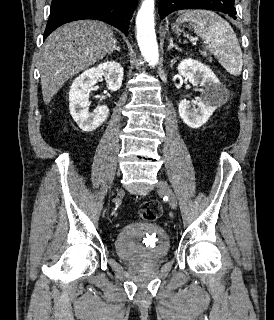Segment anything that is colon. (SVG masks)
Here are the masks:
<instances>
[{"label": "colon", "mask_w": 274, "mask_h": 320, "mask_svg": "<svg viewBox=\"0 0 274 320\" xmlns=\"http://www.w3.org/2000/svg\"><path fill=\"white\" fill-rule=\"evenodd\" d=\"M161 212L162 209L158 202L154 200H147L139 209L138 216L142 221L149 223L157 219L161 215Z\"/></svg>", "instance_id": "1"}]
</instances>
